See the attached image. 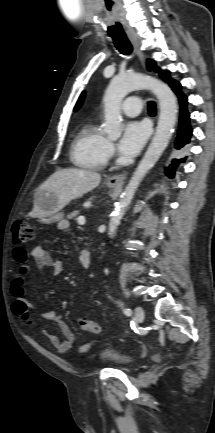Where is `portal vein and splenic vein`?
I'll return each mask as SVG.
<instances>
[{"mask_svg": "<svg viewBox=\"0 0 215 433\" xmlns=\"http://www.w3.org/2000/svg\"><path fill=\"white\" fill-rule=\"evenodd\" d=\"M77 222H78L79 225H84L85 224V218H84V216L78 217Z\"/></svg>", "mask_w": 215, "mask_h": 433, "instance_id": "portal-vein-and-splenic-vein-1", "label": "portal vein and splenic vein"}]
</instances>
